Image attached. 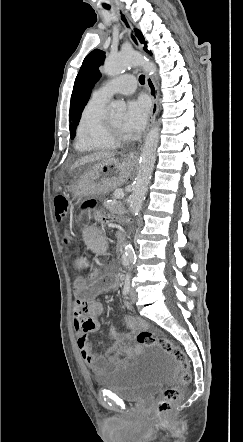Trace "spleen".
<instances>
[{"mask_svg":"<svg viewBox=\"0 0 243 442\" xmlns=\"http://www.w3.org/2000/svg\"><path fill=\"white\" fill-rule=\"evenodd\" d=\"M86 227L87 228H82V230H81L82 237H89L91 240L94 237H99V235H100L99 228H90L91 226L89 224ZM92 247L93 248H105L106 247V240L105 239H93L92 240ZM99 254L102 256L104 253L101 251ZM84 267L85 268H96L97 267V260L96 259H85L84 260Z\"/></svg>","mask_w":243,"mask_h":442,"instance_id":"3e777b00","label":"spleen"}]
</instances>
